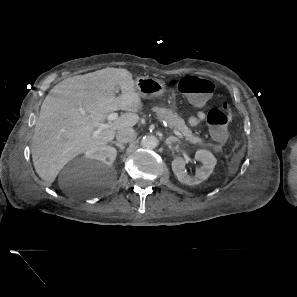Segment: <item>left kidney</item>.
Wrapping results in <instances>:
<instances>
[{"instance_id":"5707ae66","label":"left kidney","mask_w":297,"mask_h":297,"mask_svg":"<svg viewBox=\"0 0 297 297\" xmlns=\"http://www.w3.org/2000/svg\"><path fill=\"white\" fill-rule=\"evenodd\" d=\"M195 160L200 161L202 166L198 168L194 176H190L186 169V160L182 157H177L172 161V171L176 175L178 181L183 184L193 186L198 185L206 180L213 172L217 163L214 155L208 150H198L194 156Z\"/></svg>"}]
</instances>
